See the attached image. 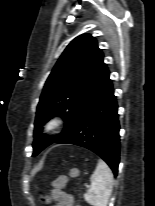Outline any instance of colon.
<instances>
[{
  "label": "colon",
  "instance_id": "obj_1",
  "mask_svg": "<svg viewBox=\"0 0 155 206\" xmlns=\"http://www.w3.org/2000/svg\"><path fill=\"white\" fill-rule=\"evenodd\" d=\"M65 181H66L65 177H60L59 179H57V180L54 181L53 185H54L55 187L60 188V187L63 186V184L65 183Z\"/></svg>",
  "mask_w": 155,
  "mask_h": 206
}]
</instances>
